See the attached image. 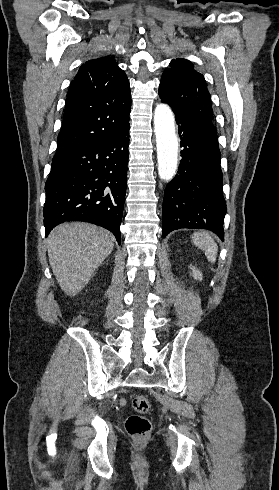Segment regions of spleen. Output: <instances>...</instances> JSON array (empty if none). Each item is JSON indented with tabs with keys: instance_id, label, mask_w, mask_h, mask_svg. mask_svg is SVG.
<instances>
[{
	"instance_id": "3e777b00",
	"label": "spleen",
	"mask_w": 279,
	"mask_h": 490,
	"mask_svg": "<svg viewBox=\"0 0 279 490\" xmlns=\"http://www.w3.org/2000/svg\"><path fill=\"white\" fill-rule=\"evenodd\" d=\"M192 240L195 246H198L199 250H203L208 262L214 264L217 258L218 246L213 238L205 234V232H195Z\"/></svg>"
}]
</instances>
